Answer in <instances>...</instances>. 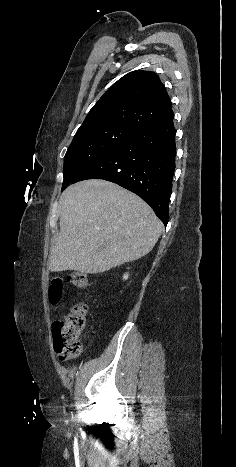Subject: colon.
<instances>
[{"mask_svg": "<svg viewBox=\"0 0 236 467\" xmlns=\"http://www.w3.org/2000/svg\"><path fill=\"white\" fill-rule=\"evenodd\" d=\"M69 282L79 288L88 286V278L84 272L75 271L70 274ZM64 292V281L61 277L52 279L49 285V302L58 305ZM88 307L85 303L73 305L63 320H57L53 324V345L62 362L77 357L81 352L80 336L86 326Z\"/></svg>", "mask_w": 236, "mask_h": 467, "instance_id": "5ec220e1", "label": "colon"}]
</instances>
